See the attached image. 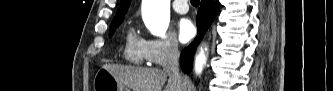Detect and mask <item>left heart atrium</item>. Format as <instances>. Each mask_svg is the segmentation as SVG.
Instances as JSON below:
<instances>
[{
  "instance_id": "1",
  "label": "left heart atrium",
  "mask_w": 333,
  "mask_h": 91,
  "mask_svg": "<svg viewBox=\"0 0 333 91\" xmlns=\"http://www.w3.org/2000/svg\"><path fill=\"white\" fill-rule=\"evenodd\" d=\"M195 26L190 19H181L178 23V37L182 43L191 40L195 35Z\"/></svg>"
}]
</instances>
